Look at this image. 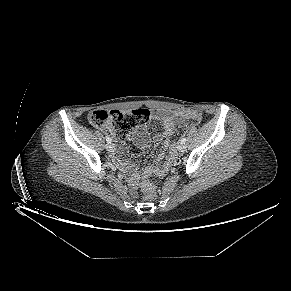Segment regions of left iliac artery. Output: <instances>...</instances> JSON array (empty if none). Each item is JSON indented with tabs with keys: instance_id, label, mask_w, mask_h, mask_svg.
Returning <instances> with one entry per match:
<instances>
[{
	"instance_id": "obj_1",
	"label": "left iliac artery",
	"mask_w": 291,
	"mask_h": 291,
	"mask_svg": "<svg viewBox=\"0 0 291 291\" xmlns=\"http://www.w3.org/2000/svg\"><path fill=\"white\" fill-rule=\"evenodd\" d=\"M180 141H181V143H185L186 142V138L182 137Z\"/></svg>"
}]
</instances>
